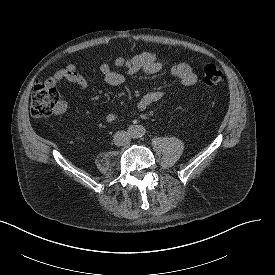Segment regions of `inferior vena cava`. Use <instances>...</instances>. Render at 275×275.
Returning <instances> with one entry per match:
<instances>
[{
	"instance_id": "obj_1",
	"label": "inferior vena cava",
	"mask_w": 275,
	"mask_h": 275,
	"mask_svg": "<svg viewBox=\"0 0 275 275\" xmlns=\"http://www.w3.org/2000/svg\"><path fill=\"white\" fill-rule=\"evenodd\" d=\"M113 141L117 146H124L129 143L130 137L125 131H118L115 133Z\"/></svg>"
}]
</instances>
